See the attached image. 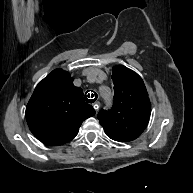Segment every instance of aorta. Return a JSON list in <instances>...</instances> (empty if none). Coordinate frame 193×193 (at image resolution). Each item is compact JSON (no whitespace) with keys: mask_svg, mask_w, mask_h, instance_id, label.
Returning a JSON list of instances; mask_svg holds the SVG:
<instances>
[{"mask_svg":"<svg viewBox=\"0 0 193 193\" xmlns=\"http://www.w3.org/2000/svg\"><path fill=\"white\" fill-rule=\"evenodd\" d=\"M99 92L104 101L110 102L112 100V92L109 87L103 86L99 89Z\"/></svg>","mask_w":193,"mask_h":193,"instance_id":"1","label":"aorta"}]
</instances>
